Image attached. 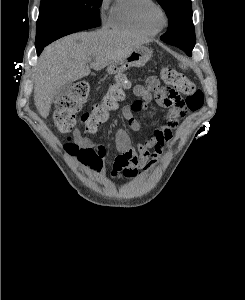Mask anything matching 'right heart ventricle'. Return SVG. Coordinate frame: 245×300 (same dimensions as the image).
<instances>
[{
	"label": "right heart ventricle",
	"mask_w": 245,
	"mask_h": 300,
	"mask_svg": "<svg viewBox=\"0 0 245 300\" xmlns=\"http://www.w3.org/2000/svg\"><path fill=\"white\" fill-rule=\"evenodd\" d=\"M150 0H114L109 13L108 23L115 30L146 36L154 35L141 21L142 8Z\"/></svg>",
	"instance_id": "right-heart-ventricle-1"
}]
</instances>
